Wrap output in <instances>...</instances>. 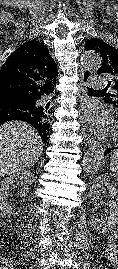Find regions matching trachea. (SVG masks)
<instances>
[{"label":"trachea","instance_id":"trachea-1","mask_svg":"<svg viewBox=\"0 0 118 269\" xmlns=\"http://www.w3.org/2000/svg\"><path fill=\"white\" fill-rule=\"evenodd\" d=\"M87 92H88V93H92V92H100V91H98V90H94L93 88H89V87H87Z\"/></svg>","mask_w":118,"mask_h":269}]
</instances>
